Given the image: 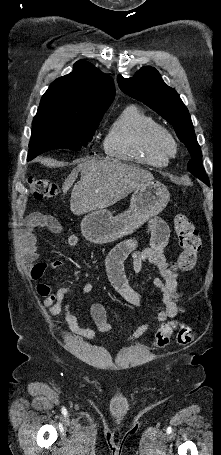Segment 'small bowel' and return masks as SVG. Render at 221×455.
<instances>
[{
  "instance_id": "1",
  "label": "small bowel",
  "mask_w": 221,
  "mask_h": 455,
  "mask_svg": "<svg viewBox=\"0 0 221 455\" xmlns=\"http://www.w3.org/2000/svg\"><path fill=\"white\" fill-rule=\"evenodd\" d=\"M46 229L52 233H60L62 226L59 221L45 213H33L24 223L20 242L25 262L32 266V277L40 278L49 269L63 267L62 261L51 263L36 262L39 254L36 247L37 229ZM169 228L160 218L151 220L148 228L149 245L139 248L137 240L128 239L115 246L105 259V267L108 278L115 291L129 304L140 305L142 296L130 285L125 272V262L131 258L133 269L138 275L144 263H149L156 271L157 277L153 279L154 287L160 292L163 308L157 313L156 320L163 323L175 318L185 312V308L179 303L181 292L179 290V276L172 270L164 254V249L169 241ZM79 243L77 235H70L67 238L69 246H76ZM93 289L90 282L83 284L81 291L84 295L89 294ZM37 293L43 297V305L48 308L50 315L63 313L65 321L72 332L81 338L92 340L96 332L107 333L115 330V326L107 319L106 311L100 303H94L90 308L91 328H82L78 324L76 316L71 312L70 305L66 302V295L72 289L62 287L53 291L50 285L39 283L36 287ZM151 322L138 326L127 338L126 342L134 341L145 334L151 327Z\"/></svg>"
}]
</instances>
